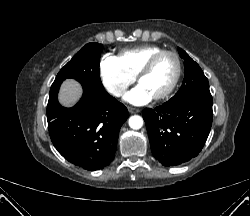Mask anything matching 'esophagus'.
Instances as JSON below:
<instances>
[{
  "label": "esophagus",
  "instance_id": "obj_1",
  "mask_svg": "<svg viewBox=\"0 0 250 216\" xmlns=\"http://www.w3.org/2000/svg\"><path fill=\"white\" fill-rule=\"evenodd\" d=\"M128 111H129L130 113H138L140 110L137 109V108L128 107Z\"/></svg>",
  "mask_w": 250,
  "mask_h": 216
}]
</instances>
